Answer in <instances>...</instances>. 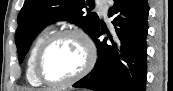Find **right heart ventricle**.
I'll return each mask as SVG.
<instances>
[{"instance_id": "right-heart-ventricle-1", "label": "right heart ventricle", "mask_w": 173, "mask_h": 91, "mask_svg": "<svg viewBox=\"0 0 173 91\" xmlns=\"http://www.w3.org/2000/svg\"><path fill=\"white\" fill-rule=\"evenodd\" d=\"M52 33V26L48 25L44 27L41 32L38 34L32 46L30 48L28 58H27V68H26V77L30 84L34 86H40L41 82L37 79L34 70V61L36 53L43 43V41Z\"/></svg>"}]
</instances>
